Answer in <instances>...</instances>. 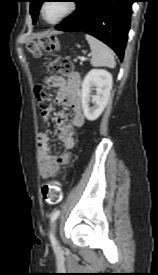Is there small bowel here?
Wrapping results in <instances>:
<instances>
[{
	"label": "small bowel",
	"mask_w": 158,
	"mask_h": 275,
	"mask_svg": "<svg viewBox=\"0 0 158 275\" xmlns=\"http://www.w3.org/2000/svg\"><path fill=\"white\" fill-rule=\"evenodd\" d=\"M47 84L52 87H59L60 92L57 103H61L71 109V121L66 119L63 112L56 115V124L60 130L59 138L63 143L64 150L53 155L49 150L50 136L47 132L38 134L39 147V172L43 178L55 177L60 169L66 166L71 159V150L75 147L76 138L74 135L75 129L81 128L85 118L82 112V97H81V77L79 73L72 72L68 77L52 76L48 78ZM44 121H48L49 112H42Z\"/></svg>",
	"instance_id": "c3829d8e"
}]
</instances>
